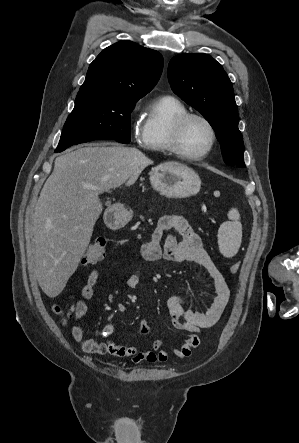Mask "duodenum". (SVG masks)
I'll return each mask as SVG.
<instances>
[{
    "mask_svg": "<svg viewBox=\"0 0 299 443\" xmlns=\"http://www.w3.org/2000/svg\"><path fill=\"white\" fill-rule=\"evenodd\" d=\"M124 216L126 217L127 216V214H124ZM110 224L111 225H115V221L112 219V220H110Z\"/></svg>",
    "mask_w": 299,
    "mask_h": 443,
    "instance_id": "obj_1",
    "label": "duodenum"
}]
</instances>
